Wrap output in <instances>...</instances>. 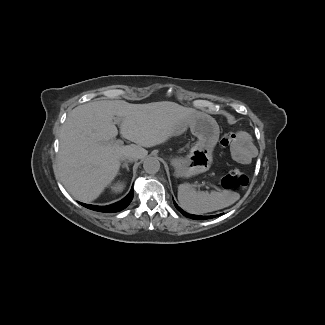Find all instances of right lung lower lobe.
Wrapping results in <instances>:
<instances>
[{
	"label": "right lung lower lobe",
	"instance_id": "1",
	"mask_svg": "<svg viewBox=\"0 0 325 325\" xmlns=\"http://www.w3.org/2000/svg\"><path fill=\"white\" fill-rule=\"evenodd\" d=\"M132 199H133V189H131V191L125 198H123L122 200H120L114 204L108 205V206H94V205H88V204H84V203H81V204L84 207L95 210V211L112 213V212L121 211L124 208H126L130 204Z\"/></svg>",
	"mask_w": 325,
	"mask_h": 325
}]
</instances>
